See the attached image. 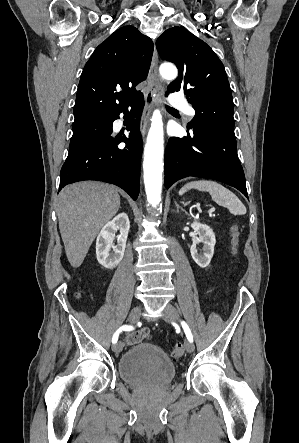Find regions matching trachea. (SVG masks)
Returning a JSON list of instances; mask_svg holds the SVG:
<instances>
[{
  "mask_svg": "<svg viewBox=\"0 0 299 443\" xmlns=\"http://www.w3.org/2000/svg\"><path fill=\"white\" fill-rule=\"evenodd\" d=\"M166 107H167L168 110H175V109H173V108H171L169 106H166Z\"/></svg>",
  "mask_w": 299,
  "mask_h": 443,
  "instance_id": "trachea-1",
  "label": "trachea"
}]
</instances>
